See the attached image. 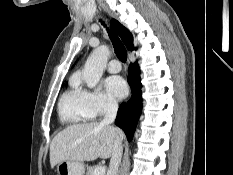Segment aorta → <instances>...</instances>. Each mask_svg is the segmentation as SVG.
<instances>
[{"label": "aorta", "mask_w": 233, "mask_h": 175, "mask_svg": "<svg viewBox=\"0 0 233 175\" xmlns=\"http://www.w3.org/2000/svg\"><path fill=\"white\" fill-rule=\"evenodd\" d=\"M109 54V48L105 45H101L88 57L82 71V78L85 80L89 88L96 87L100 81L104 68L106 67Z\"/></svg>", "instance_id": "obj_1"}]
</instances>
